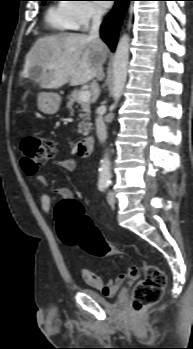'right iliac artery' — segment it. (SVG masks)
Masks as SVG:
<instances>
[{"instance_id":"right-iliac-artery-1","label":"right iliac artery","mask_w":193,"mask_h":349,"mask_svg":"<svg viewBox=\"0 0 193 349\" xmlns=\"http://www.w3.org/2000/svg\"><path fill=\"white\" fill-rule=\"evenodd\" d=\"M107 186L108 184L105 182L99 183L98 185L100 191H103Z\"/></svg>"}]
</instances>
